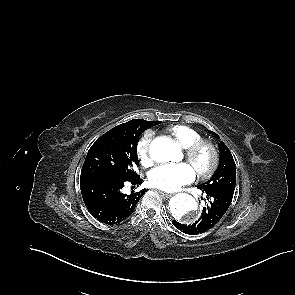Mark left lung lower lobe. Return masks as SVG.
<instances>
[{
  "label": "left lung lower lobe",
  "instance_id": "1",
  "mask_svg": "<svg viewBox=\"0 0 295 295\" xmlns=\"http://www.w3.org/2000/svg\"><path fill=\"white\" fill-rule=\"evenodd\" d=\"M206 194L207 206L201 217L193 224L185 225L173 220V225L183 233L197 235L213 228L228 210L234 192L224 189L207 190L198 187Z\"/></svg>",
  "mask_w": 295,
  "mask_h": 295
}]
</instances>
